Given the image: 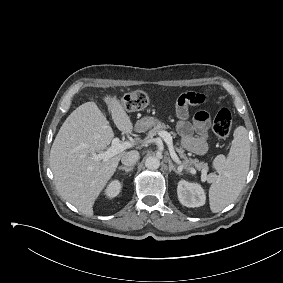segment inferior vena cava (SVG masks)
<instances>
[{"label": "inferior vena cava", "mask_w": 283, "mask_h": 283, "mask_svg": "<svg viewBox=\"0 0 283 283\" xmlns=\"http://www.w3.org/2000/svg\"><path fill=\"white\" fill-rule=\"evenodd\" d=\"M139 159V153L138 151H129L127 153H125L122 158H121V162L122 164H124L125 166H134L136 164V162Z\"/></svg>", "instance_id": "1"}]
</instances>
